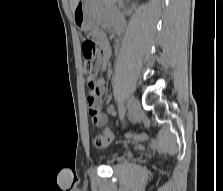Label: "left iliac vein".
<instances>
[{
    "instance_id": "left-iliac-vein-1",
    "label": "left iliac vein",
    "mask_w": 223,
    "mask_h": 191,
    "mask_svg": "<svg viewBox=\"0 0 223 191\" xmlns=\"http://www.w3.org/2000/svg\"><path fill=\"white\" fill-rule=\"evenodd\" d=\"M127 106H128L129 117L132 120H135L140 112V109H141L139 100L134 96H130L128 98Z\"/></svg>"
}]
</instances>
